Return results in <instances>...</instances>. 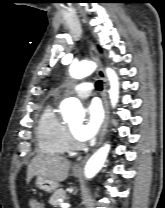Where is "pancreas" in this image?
<instances>
[{"instance_id": "cf45deb5", "label": "pancreas", "mask_w": 165, "mask_h": 208, "mask_svg": "<svg viewBox=\"0 0 165 208\" xmlns=\"http://www.w3.org/2000/svg\"><path fill=\"white\" fill-rule=\"evenodd\" d=\"M60 199H66V192L63 189L56 190L49 199V204L58 207L61 202Z\"/></svg>"}]
</instances>
